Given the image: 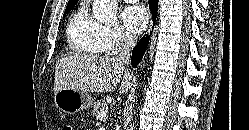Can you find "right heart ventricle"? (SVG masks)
<instances>
[{"mask_svg": "<svg viewBox=\"0 0 249 130\" xmlns=\"http://www.w3.org/2000/svg\"><path fill=\"white\" fill-rule=\"evenodd\" d=\"M67 43L78 54L100 55L107 52L103 25L90 15L86 5H81L70 18Z\"/></svg>", "mask_w": 249, "mask_h": 130, "instance_id": "right-heart-ventricle-1", "label": "right heart ventricle"}]
</instances>
